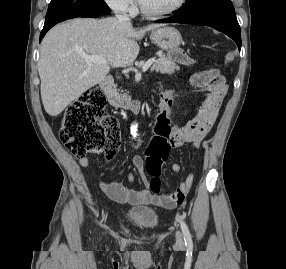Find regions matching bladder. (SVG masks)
Returning <instances> with one entry per match:
<instances>
[{
	"label": "bladder",
	"mask_w": 286,
	"mask_h": 269,
	"mask_svg": "<svg viewBox=\"0 0 286 269\" xmlns=\"http://www.w3.org/2000/svg\"><path fill=\"white\" fill-rule=\"evenodd\" d=\"M128 220L139 228L152 230L158 226L159 215L150 207H133L128 211Z\"/></svg>",
	"instance_id": "obj_1"
}]
</instances>
